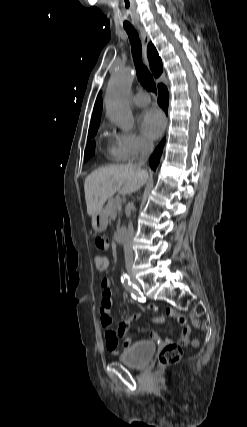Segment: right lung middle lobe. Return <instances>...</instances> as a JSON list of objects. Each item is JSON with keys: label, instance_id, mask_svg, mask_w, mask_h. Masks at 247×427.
Returning a JSON list of instances; mask_svg holds the SVG:
<instances>
[{"label": "right lung middle lobe", "instance_id": "obj_1", "mask_svg": "<svg viewBox=\"0 0 247 427\" xmlns=\"http://www.w3.org/2000/svg\"><path fill=\"white\" fill-rule=\"evenodd\" d=\"M99 125L94 126V127H90L89 129V136L91 138H93L95 136V134L97 133V129H98ZM95 152V142L91 141L90 138H88L87 140V146L85 149V157H84V161H87Z\"/></svg>", "mask_w": 247, "mask_h": 427}]
</instances>
